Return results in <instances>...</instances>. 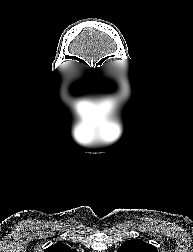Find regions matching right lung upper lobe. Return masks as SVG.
<instances>
[{"label": "right lung upper lobe", "instance_id": "right-lung-upper-lobe-1", "mask_svg": "<svg viewBox=\"0 0 193 252\" xmlns=\"http://www.w3.org/2000/svg\"><path fill=\"white\" fill-rule=\"evenodd\" d=\"M44 252H76V251L64 245L62 242H58L55 245L47 248Z\"/></svg>", "mask_w": 193, "mask_h": 252}]
</instances>
